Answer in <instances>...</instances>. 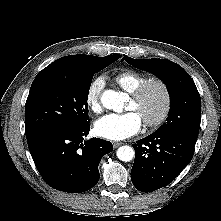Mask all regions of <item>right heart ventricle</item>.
Wrapping results in <instances>:
<instances>
[{
    "instance_id": "obj_1",
    "label": "right heart ventricle",
    "mask_w": 221,
    "mask_h": 221,
    "mask_svg": "<svg viewBox=\"0 0 221 221\" xmlns=\"http://www.w3.org/2000/svg\"><path fill=\"white\" fill-rule=\"evenodd\" d=\"M148 79L149 77L147 75L136 70L128 69L118 73L114 81L121 89L131 94Z\"/></svg>"
}]
</instances>
